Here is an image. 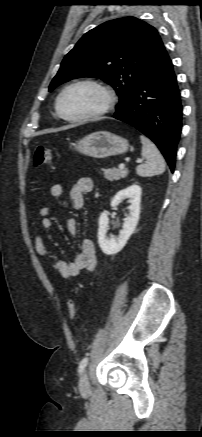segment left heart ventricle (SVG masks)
I'll return each mask as SVG.
<instances>
[{"label":"left heart ventricle","instance_id":"obj_1","mask_svg":"<svg viewBox=\"0 0 202 437\" xmlns=\"http://www.w3.org/2000/svg\"><path fill=\"white\" fill-rule=\"evenodd\" d=\"M104 103L103 94L88 85L70 89L61 100V109L69 117L84 115L99 109Z\"/></svg>","mask_w":202,"mask_h":437}]
</instances>
